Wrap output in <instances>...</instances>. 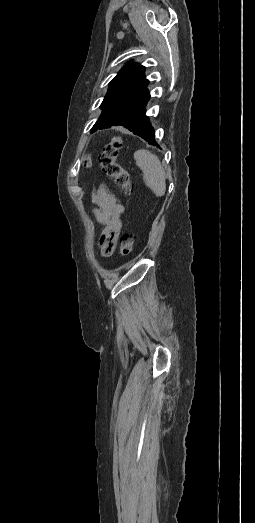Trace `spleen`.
<instances>
[{
    "label": "spleen",
    "instance_id": "1",
    "mask_svg": "<svg viewBox=\"0 0 255 523\" xmlns=\"http://www.w3.org/2000/svg\"><path fill=\"white\" fill-rule=\"evenodd\" d=\"M136 166L143 172V178L146 186L151 188L155 196H164L166 192L165 172L157 156L148 152V150H137L134 154Z\"/></svg>",
    "mask_w": 255,
    "mask_h": 523
}]
</instances>
